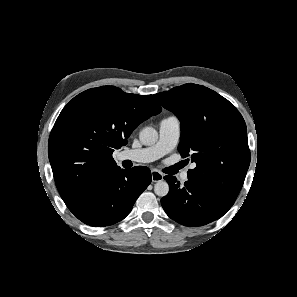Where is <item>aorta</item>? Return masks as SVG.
Returning <instances> with one entry per match:
<instances>
[{
	"mask_svg": "<svg viewBox=\"0 0 297 297\" xmlns=\"http://www.w3.org/2000/svg\"><path fill=\"white\" fill-rule=\"evenodd\" d=\"M140 142L145 146H151L156 143L158 139L157 131L152 127H146L141 130L139 134ZM154 192L159 197H164L169 192V185L164 180H159L154 185Z\"/></svg>",
	"mask_w": 297,
	"mask_h": 297,
	"instance_id": "762f6f07",
	"label": "aorta"
}]
</instances>
